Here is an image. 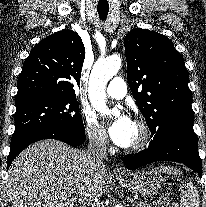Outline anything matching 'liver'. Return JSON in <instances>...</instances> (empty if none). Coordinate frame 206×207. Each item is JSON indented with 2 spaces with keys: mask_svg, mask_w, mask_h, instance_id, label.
I'll return each instance as SVG.
<instances>
[{
  "mask_svg": "<svg viewBox=\"0 0 206 207\" xmlns=\"http://www.w3.org/2000/svg\"><path fill=\"white\" fill-rule=\"evenodd\" d=\"M108 186L106 169H91L85 151L42 140L12 162L6 194L11 207H73L103 196Z\"/></svg>",
  "mask_w": 206,
  "mask_h": 207,
  "instance_id": "obj_1",
  "label": "liver"
}]
</instances>
